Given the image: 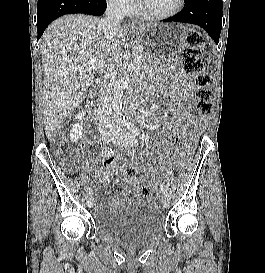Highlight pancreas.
I'll use <instances>...</instances> for the list:
<instances>
[{
	"mask_svg": "<svg viewBox=\"0 0 265 273\" xmlns=\"http://www.w3.org/2000/svg\"><path fill=\"white\" fill-rule=\"evenodd\" d=\"M135 57H140L136 60V62L141 66L143 63L148 61L150 58H148L146 52L142 48L136 47L135 52L133 54Z\"/></svg>",
	"mask_w": 265,
	"mask_h": 273,
	"instance_id": "pancreas-1",
	"label": "pancreas"
}]
</instances>
